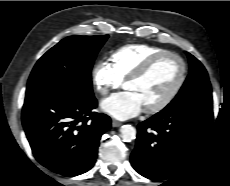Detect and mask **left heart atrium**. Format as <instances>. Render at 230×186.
<instances>
[{
	"mask_svg": "<svg viewBox=\"0 0 230 186\" xmlns=\"http://www.w3.org/2000/svg\"><path fill=\"white\" fill-rule=\"evenodd\" d=\"M101 108L120 120L135 117L144 109L138 96L132 91L112 95L101 103Z\"/></svg>",
	"mask_w": 230,
	"mask_h": 186,
	"instance_id": "39dd6f15",
	"label": "left heart atrium"
}]
</instances>
